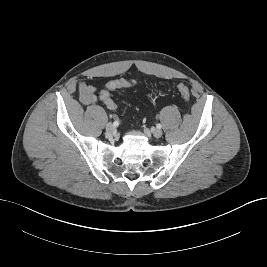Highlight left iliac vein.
I'll return each mask as SVG.
<instances>
[{"mask_svg": "<svg viewBox=\"0 0 267 267\" xmlns=\"http://www.w3.org/2000/svg\"><path fill=\"white\" fill-rule=\"evenodd\" d=\"M152 134L155 138H160L162 136V131L160 129H154Z\"/></svg>", "mask_w": 267, "mask_h": 267, "instance_id": "1", "label": "left iliac vein"}]
</instances>
